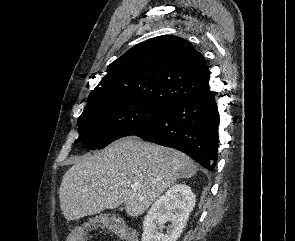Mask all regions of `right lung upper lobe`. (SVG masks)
Returning a JSON list of instances; mask_svg holds the SVG:
<instances>
[{"mask_svg": "<svg viewBox=\"0 0 295 241\" xmlns=\"http://www.w3.org/2000/svg\"><path fill=\"white\" fill-rule=\"evenodd\" d=\"M90 95L114 92L166 108L209 90V68L193 45L177 36H158L135 45L112 62Z\"/></svg>", "mask_w": 295, "mask_h": 241, "instance_id": "1", "label": "right lung upper lobe"}]
</instances>
